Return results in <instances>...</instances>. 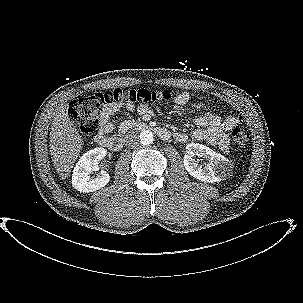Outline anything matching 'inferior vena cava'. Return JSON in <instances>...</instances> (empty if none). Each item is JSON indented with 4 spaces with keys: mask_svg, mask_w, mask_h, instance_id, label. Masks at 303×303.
Returning <instances> with one entry per match:
<instances>
[{
    "mask_svg": "<svg viewBox=\"0 0 303 303\" xmlns=\"http://www.w3.org/2000/svg\"><path fill=\"white\" fill-rule=\"evenodd\" d=\"M125 143L128 147H135L138 145V136L134 132H129L125 135Z\"/></svg>",
    "mask_w": 303,
    "mask_h": 303,
    "instance_id": "602c4592",
    "label": "inferior vena cava"
}]
</instances>
